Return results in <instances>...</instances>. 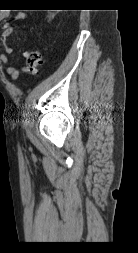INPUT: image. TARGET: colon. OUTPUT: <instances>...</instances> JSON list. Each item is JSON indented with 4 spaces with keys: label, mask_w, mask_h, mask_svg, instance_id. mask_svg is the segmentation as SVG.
Wrapping results in <instances>:
<instances>
[{
    "label": "colon",
    "mask_w": 138,
    "mask_h": 253,
    "mask_svg": "<svg viewBox=\"0 0 138 253\" xmlns=\"http://www.w3.org/2000/svg\"><path fill=\"white\" fill-rule=\"evenodd\" d=\"M42 65V54L39 50L26 52V63L24 72L28 75H35Z\"/></svg>",
    "instance_id": "obj_1"
}]
</instances>
